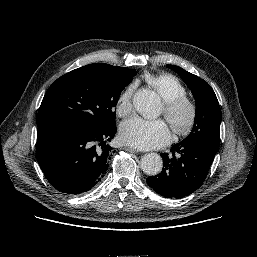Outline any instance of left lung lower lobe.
Wrapping results in <instances>:
<instances>
[{"mask_svg":"<svg viewBox=\"0 0 257 257\" xmlns=\"http://www.w3.org/2000/svg\"><path fill=\"white\" fill-rule=\"evenodd\" d=\"M219 146L205 141H182L161 154L163 170L148 177V185L167 198H182L204 182Z\"/></svg>","mask_w":257,"mask_h":257,"instance_id":"0a47b994","label":"left lung lower lobe"}]
</instances>
